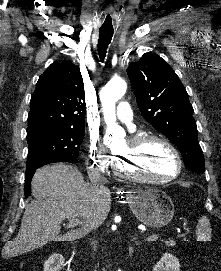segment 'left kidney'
<instances>
[{"label": "left kidney", "instance_id": "obj_1", "mask_svg": "<svg viewBox=\"0 0 221 271\" xmlns=\"http://www.w3.org/2000/svg\"><path fill=\"white\" fill-rule=\"evenodd\" d=\"M153 271H180V263L172 253H163L161 259L155 263Z\"/></svg>", "mask_w": 221, "mask_h": 271}]
</instances>
